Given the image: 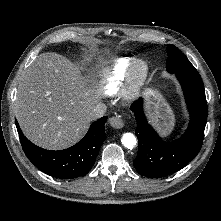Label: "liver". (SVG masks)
<instances>
[{
  "instance_id": "obj_1",
  "label": "liver",
  "mask_w": 221,
  "mask_h": 221,
  "mask_svg": "<svg viewBox=\"0 0 221 221\" xmlns=\"http://www.w3.org/2000/svg\"><path fill=\"white\" fill-rule=\"evenodd\" d=\"M96 53V49H91ZM91 60V54H85ZM103 64V58L100 59ZM101 93L79 68L56 53L39 55L19 82L15 113L25 136L45 149L60 150L87 132Z\"/></svg>"
}]
</instances>
